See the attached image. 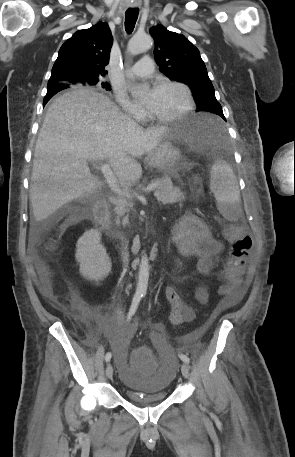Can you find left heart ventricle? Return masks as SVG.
<instances>
[{
    "mask_svg": "<svg viewBox=\"0 0 295 457\" xmlns=\"http://www.w3.org/2000/svg\"><path fill=\"white\" fill-rule=\"evenodd\" d=\"M155 98L147 102L148 108L158 116H171L180 112L186 104L183 91L175 86L157 87Z\"/></svg>",
    "mask_w": 295,
    "mask_h": 457,
    "instance_id": "1",
    "label": "left heart ventricle"
}]
</instances>
